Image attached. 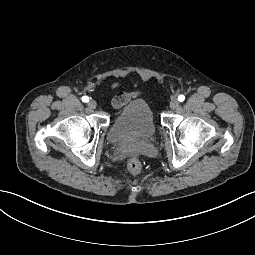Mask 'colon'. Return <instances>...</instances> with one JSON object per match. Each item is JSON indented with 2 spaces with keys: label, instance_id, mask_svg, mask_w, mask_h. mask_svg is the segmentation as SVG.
I'll list each match as a JSON object with an SVG mask.
<instances>
[{
  "label": "colon",
  "instance_id": "colon-1",
  "mask_svg": "<svg viewBox=\"0 0 255 255\" xmlns=\"http://www.w3.org/2000/svg\"><path fill=\"white\" fill-rule=\"evenodd\" d=\"M128 170L130 173L137 175L141 172V163L137 158H131L128 161Z\"/></svg>",
  "mask_w": 255,
  "mask_h": 255
}]
</instances>
